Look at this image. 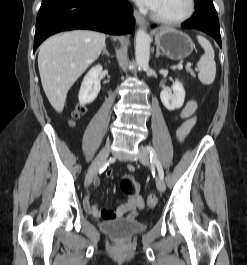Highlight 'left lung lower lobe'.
I'll return each mask as SVG.
<instances>
[{
	"mask_svg": "<svg viewBox=\"0 0 247 265\" xmlns=\"http://www.w3.org/2000/svg\"><path fill=\"white\" fill-rule=\"evenodd\" d=\"M195 13L186 22L183 28H195L211 35L221 47L218 15L212 0H195Z\"/></svg>",
	"mask_w": 247,
	"mask_h": 265,
	"instance_id": "left-lung-lower-lobe-1",
	"label": "left lung lower lobe"
}]
</instances>
